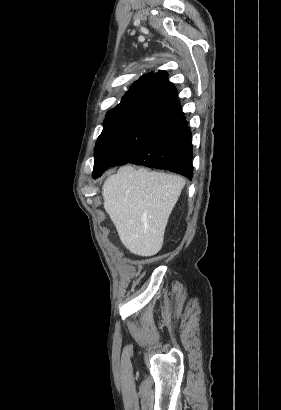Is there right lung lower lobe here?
<instances>
[{
    "label": "right lung lower lobe",
    "mask_w": 281,
    "mask_h": 410,
    "mask_svg": "<svg viewBox=\"0 0 281 410\" xmlns=\"http://www.w3.org/2000/svg\"><path fill=\"white\" fill-rule=\"evenodd\" d=\"M191 138L185 115L181 106L177 105L148 129L112 166L132 163L169 170L192 179Z\"/></svg>",
    "instance_id": "98d812e1"
}]
</instances>
